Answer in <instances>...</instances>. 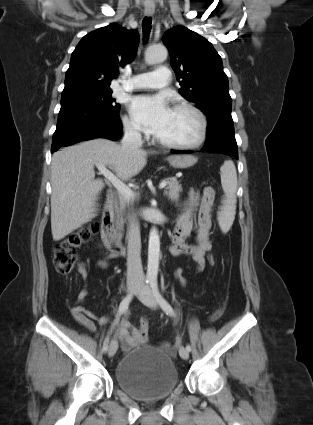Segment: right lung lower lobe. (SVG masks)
Masks as SVG:
<instances>
[{
	"label": "right lung lower lobe",
	"instance_id": "right-lung-lower-lobe-1",
	"mask_svg": "<svg viewBox=\"0 0 313 425\" xmlns=\"http://www.w3.org/2000/svg\"><path fill=\"white\" fill-rule=\"evenodd\" d=\"M122 132L119 111H112L84 101H61L51 152L79 141L97 137L117 140Z\"/></svg>",
	"mask_w": 313,
	"mask_h": 425
}]
</instances>
